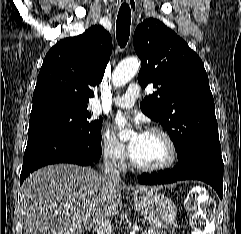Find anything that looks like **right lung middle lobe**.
<instances>
[{
	"label": "right lung middle lobe",
	"instance_id": "dd1d6c3e",
	"mask_svg": "<svg viewBox=\"0 0 241 234\" xmlns=\"http://www.w3.org/2000/svg\"><path fill=\"white\" fill-rule=\"evenodd\" d=\"M102 119H92L87 104L47 102L33 105L28 137L57 132L79 138L89 144L101 139Z\"/></svg>",
	"mask_w": 241,
	"mask_h": 234
}]
</instances>
